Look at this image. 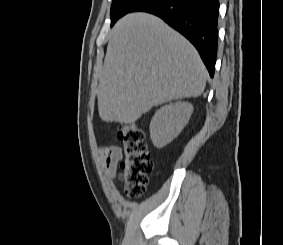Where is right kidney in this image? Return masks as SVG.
Listing matches in <instances>:
<instances>
[{"label": "right kidney", "mask_w": 283, "mask_h": 245, "mask_svg": "<svg viewBox=\"0 0 283 245\" xmlns=\"http://www.w3.org/2000/svg\"><path fill=\"white\" fill-rule=\"evenodd\" d=\"M193 112L192 104L176 102L161 107L150 122V138L153 144L164 147L169 144L188 123Z\"/></svg>", "instance_id": "obj_1"}]
</instances>
